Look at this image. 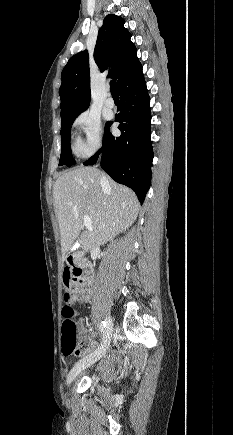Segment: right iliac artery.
I'll return each mask as SVG.
<instances>
[{
    "label": "right iliac artery",
    "mask_w": 233,
    "mask_h": 435,
    "mask_svg": "<svg viewBox=\"0 0 233 435\" xmlns=\"http://www.w3.org/2000/svg\"><path fill=\"white\" fill-rule=\"evenodd\" d=\"M105 327H106V322H105V321H102V322L100 323V325H99V330H100L101 333L104 332Z\"/></svg>",
    "instance_id": "obj_1"
}]
</instances>
